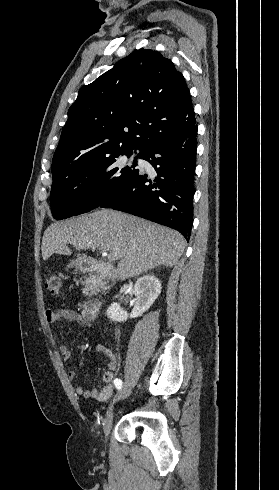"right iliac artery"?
I'll return each instance as SVG.
<instances>
[{
  "label": "right iliac artery",
  "instance_id": "1",
  "mask_svg": "<svg viewBox=\"0 0 279 490\" xmlns=\"http://www.w3.org/2000/svg\"><path fill=\"white\" fill-rule=\"evenodd\" d=\"M114 380H115L114 384H115L116 388L121 389L122 388V381H121L120 377L117 376V377H115Z\"/></svg>",
  "mask_w": 279,
  "mask_h": 490
}]
</instances>
